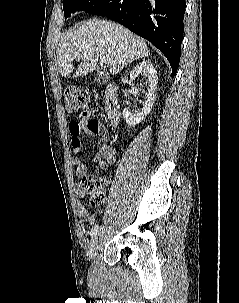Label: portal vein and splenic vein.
I'll use <instances>...</instances> for the list:
<instances>
[{
  "mask_svg": "<svg viewBox=\"0 0 239 303\" xmlns=\"http://www.w3.org/2000/svg\"><path fill=\"white\" fill-rule=\"evenodd\" d=\"M101 59L107 65H109L112 62L111 58H106L101 56Z\"/></svg>",
  "mask_w": 239,
  "mask_h": 303,
  "instance_id": "1",
  "label": "portal vein and splenic vein"
}]
</instances>
